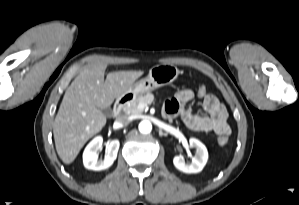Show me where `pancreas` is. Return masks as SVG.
I'll return each mask as SVG.
<instances>
[{"instance_id":"cf45deb5","label":"pancreas","mask_w":299,"mask_h":205,"mask_svg":"<svg viewBox=\"0 0 299 205\" xmlns=\"http://www.w3.org/2000/svg\"><path fill=\"white\" fill-rule=\"evenodd\" d=\"M154 100V95L148 93L146 95H141L136 99L132 100L128 105L124 106L123 111L126 115H135L143 112V108H140L139 105L143 104L144 106L149 105Z\"/></svg>"}]
</instances>
